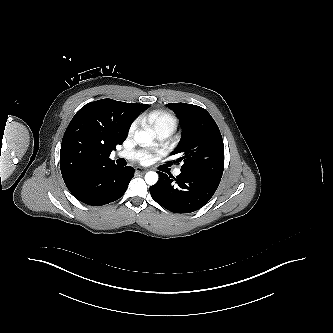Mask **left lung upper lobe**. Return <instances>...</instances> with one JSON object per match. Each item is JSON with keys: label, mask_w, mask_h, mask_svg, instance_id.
Returning a JSON list of instances; mask_svg holds the SVG:
<instances>
[{"label": "left lung upper lobe", "mask_w": 333, "mask_h": 333, "mask_svg": "<svg viewBox=\"0 0 333 333\" xmlns=\"http://www.w3.org/2000/svg\"><path fill=\"white\" fill-rule=\"evenodd\" d=\"M181 120L183 132L172 152L182 163L181 173L201 174L221 179L224 170V144L220 130L202 107L186 103H169Z\"/></svg>", "instance_id": "1"}]
</instances>
